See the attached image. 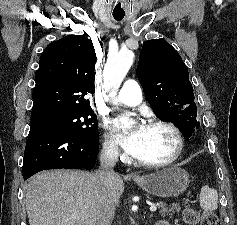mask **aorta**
<instances>
[{
	"label": "aorta",
	"mask_w": 237,
	"mask_h": 225,
	"mask_svg": "<svg viewBox=\"0 0 237 225\" xmlns=\"http://www.w3.org/2000/svg\"><path fill=\"white\" fill-rule=\"evenodd\" d=\"M133 59L134 53L130 50H121L115 56L108 58L104 68V86L111 95H116Z\"/></svg>",
	"instance_id": "762f6f07"
}]
</instances>
